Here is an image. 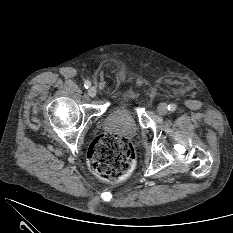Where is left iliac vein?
<instances>
[{"instance_id":"obj_1","label":"left iliac vein","mask_w":233,"mask_h":233,"mask_svg":"<svg viewBox=\"0 0 233 233\" xmlns=\"http://www.w3.org/2000/svg\"><path fill=\"white\" fill-rule=\"evenodd\" d=\"M157 112L159 115L164 116L168 113V107L167 104L165 103H161L158 105L157 107Z\"/></svg>"}]
</instances>
